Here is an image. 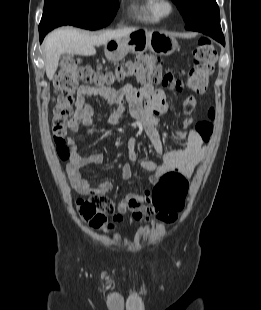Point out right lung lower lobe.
I'll return each instance as SVG.
<instances>
[{
    "label": "right lung lower lobe",
    "mask_w": 261,
    "mask_h": 310,
    "mask_svg": "<svg viewBox=\"0 0 261 310\" xmlns=\"http://www.w3.org/2000/svg\"><path fill=\"white\" fill-rule=\"evenodd\" d=\"M49 31H50V30H48V29H40V28H39L40 42H42L44 36H45Z\"/></svg>",
    "instance_id": "98d812e1"
}]
</instances>
